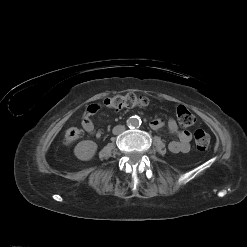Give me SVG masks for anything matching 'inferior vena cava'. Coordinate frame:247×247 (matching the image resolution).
Returning <instances> with one entry per match:
<instances>
[{
  "mask_svg": "<svg viewBox=\"0 0 247 247\" xmlns=\"http://www.w3.org/2000/svg\"><path fill=\"white\" fill-rule=\"evenodd\" d=\"M125 131V126L117 125L113 128V134L118 135Z\"/></svg>",
  "mask_w": 247,
  "mask_h": 247,
  "instance_id": "602c4592",
  "label": "inferior vena cava"
}]
</instances>
